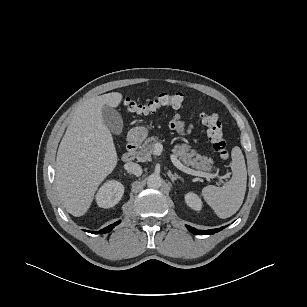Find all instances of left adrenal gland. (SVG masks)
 <instances>
[{"label": "left adrenal gland", "instance_id": "1", "mask_svg": "<svg viewBox=\"0 0 307 307\" xmlns=\"http://www.w3.org/2000/svg\"><path fill=\"white\" fill-rule=\"evenodd\" d=\"M168 176H169V178L171 179V181L174 183L177 179H180L181 180V177L178 175V174H176V173H174V174H172L170 171L168 172Z\"/></svg>", "mask_w": 307, "mask_h": 307}]
</instances>
